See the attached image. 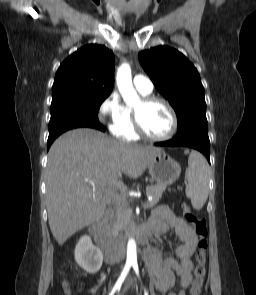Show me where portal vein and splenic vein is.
Returning <instances> with one entry per match:
<instances>
[{
    "label": "portal vein and splenic vein",
    "mask_w": 256,
    "mask_h": 295,
    "mask_svg": "<svg viewBox=\"0 0 256 295\" xmlns=\"http://www.w3.org/2000/svg\"><path fill=\"white\" fill-rule=\"evenodd\" d=\"M145 205H146V203H144V204H143V207H144V208H146V206H145Z\"/></svg>",
    "instance_id": "portal-vein-and-splenic-vein-1"
}]
</instances>
